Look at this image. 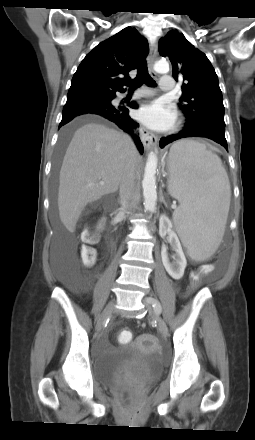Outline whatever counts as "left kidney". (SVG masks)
Instances as JSON below:
<instances>
[{"label":"left kidney","mask_w":255,"mask_h":440,"mask_svg":"<svg viewBox=\"0 0 255 440\" xmlns=\"http://www.w3.org/2000/svg\"><path fill=\"white\" fill-rule=\"evenodd\" d=\"M160 229L168 233V241L175 251L174 261L170 262L166 246L161 248V258L163 265L168 274L175 280H179L184 275V270L187 265L185 255L183 253L180 241L176 233L172 230V223L165 215L160 217Z\"/></svg>","instance_id":"obj_1"}]
</instances>
